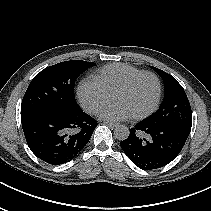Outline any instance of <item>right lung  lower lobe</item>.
Returning <instances> with one entry per match:
<instances>
[{
	"label": "right lung lower lobe",
	"instance_id": "obj_1",
	"mask_svg": "<svg viewBox=\"0 0 211 211\" xmlns=\"http://www.w3.org/2000/svg\"><path fill=\"white\" fill-rule=\"evenodd\" d=\"M21 121L31 151L51 165L71 161L88 143L98 125L82 110L25 115Z\"/></svg>",
	"mask_w": 211,
	"mask_h": 211
}]
</instances>
